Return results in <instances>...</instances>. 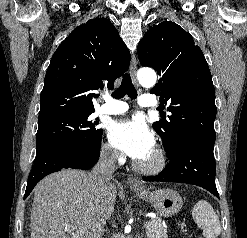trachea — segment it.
Wrapping results in <instances>:
<instances>
[{
	"mask_svg": "<svg viewBox=\"0 0 247 238\" xmlns=\"http://www.w3.org/2000/svg\"><path fill=\"white\" fill-rule=\"evenodd\" d=\"M127 94L131 99H136L137 92L128 74L124 75L120 87L112 93L115 99L122 98Z\"/></svg>",
	"mask_w": 247,
	"mask_h": 238,
	"instance_id": "trachea-1",
	"label": "trachea"
}]
</instances>
